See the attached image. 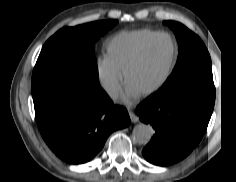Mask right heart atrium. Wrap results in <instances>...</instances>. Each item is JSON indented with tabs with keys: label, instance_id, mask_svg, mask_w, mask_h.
Returning a JSON list of instances; mask_svg holds the SVG:
<instances>
[{
	"label": "right heart atrium",
	"instance_id": "d8ad5b80",
	"mask_svg": "<svg viewBox=\"0 0 236 182\" xmlns=\"http://www.w3.org/2000/svg\"><path fill=\"white\" fill-rule=\"evenodd\" d=\"M99 78L102 86L109 93L114 94L120 89L122 73L107 59L102 60L99 64Z\"/></svg>",
	"mask_w": 236,
	"mask_h": 182
}]
</instances>
